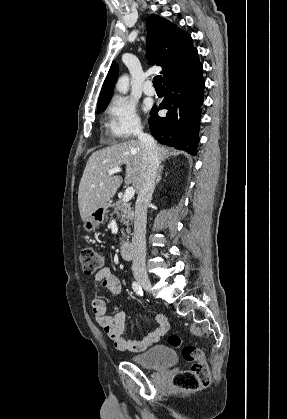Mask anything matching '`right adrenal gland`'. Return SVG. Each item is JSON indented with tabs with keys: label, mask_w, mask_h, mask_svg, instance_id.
Instances as JSON below:
<instances>
[{
	"label": "right adrenal gland",
	"mask_w": 287,
	"mask_h": 419,
	"mask_svg": "<svg viewBox=\"0 0 287 419\" xmlns=\"http://www.w3.org/2000/svg\"><path fill=\"white\" fill-rule=\"evenodd\" d=\"M162 170H163V166H160V167L158 168V173H157V178H156V185H158V184H159V182H160V180H161V173H162Z\"/></svg>",
	"instance_id": "obj_1"
}]
</instances>
